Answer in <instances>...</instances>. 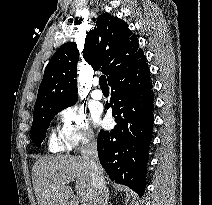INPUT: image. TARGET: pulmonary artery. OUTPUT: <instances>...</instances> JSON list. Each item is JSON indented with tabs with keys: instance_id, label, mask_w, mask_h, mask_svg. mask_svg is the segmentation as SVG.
Masks as SVG:
<instances>
[{
	"instance_id": "e3ab8cb5",
	"label": "pulmonary artery",
	"mask_w": 212,
	"mask_h": 205,
	"mask_svg": "<svg viewBox=\"0 0 212 205\" xmlns=\"http://www.w3.org/2000/svg\"><path fill=\"white\" fill-rule=\"evenodd\" d=\"M93 86H94V89L91 92L92 98L96 99V100H101L103 98V93L99 88H97L98 87V80L97 79H94Z\"/></svg>"
}]
</instances>
